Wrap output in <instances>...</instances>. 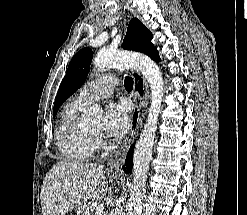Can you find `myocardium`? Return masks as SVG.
<instances>
[{
	"label": "myocardium",
	"instance_id": "f54148a6",
	"mask_svg": "<svg viewBox=\"0 0 247 215\" xmlns=\"http://www.w3.org/2000/svg\"><path fill=\"white\" fill-rule=\"evenodd\" d=\"M92 135L95 136V137L98 136V134H96V133H93Z\"/></svg>",
	"mask_w": 247,
	"mask_h": 215
}]
</instances>
